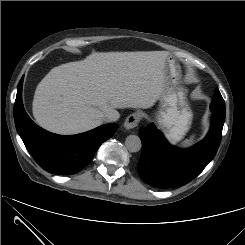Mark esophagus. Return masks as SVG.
<instances>
[{"instance_id": "obj_1", "label": "esophagus", "mask_w": 245, "mask_h": 245, "mask_svg": "<svg viewBox=\"0 0 245 245\" xmlns=\"http://www.w3.org/2000/svg\"><path fill=\"white\" fill-rule=\"evenodd\" d=\"M140 119H141L140 113H137V112L132 113L126 118L124 122V127L126 129H133L138 126Z\"/></svg>"}]
</instances>
